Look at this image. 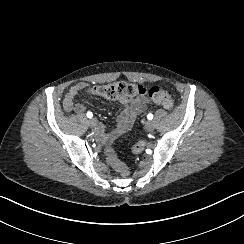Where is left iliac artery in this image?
Returning <instances> with one entry per match:
<instances>
[{
    "mask_svg": "<svg viewBox=\"0 0 244 244\" xmlns=\"http://www.w3.org/2000/svg\"><path fill=\"white\" fill-rule=\"evenodd\" d=\"M147 118H148L149 120H152V119H153V114L149 113V114L147 115Z\"/></svg>",
    "mask_w": 244,
    "mask_h": 244,
    "instance_id": "obj_1",
    "label": "left iliac artery"
}]
</instances>
